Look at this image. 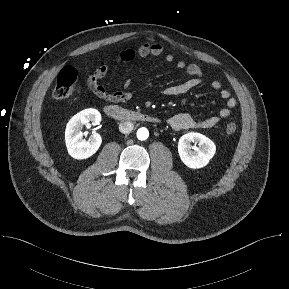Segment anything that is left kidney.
Segmentation results:
<instances>
[{"mask_svg": "<svg viewBox=\"0 0 289 289\" xmlns=\"http://www.w3.org/2000/svg\"><path fill=\"white\" fill-rule=\"evenodd\" d=\"M191 143L199 145L194 148ZM216 152V145L212 140L200 133H187L178 142V153L182 162L189 168L199 169L206 166Z\"/></svg>", "mask_w": 289, "mask_h": 289, "instance_id": "left-kidney-1", "label": "left kidney"}]
</instances>
